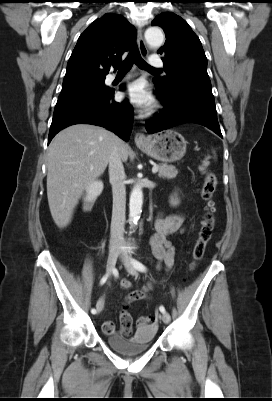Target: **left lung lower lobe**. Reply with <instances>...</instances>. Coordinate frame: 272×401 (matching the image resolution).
I'll use <instances>...</instances> for the list:
<instances>
[{
    "label": "left lung lower lobe",
    "instance_id": "left-lung-lower-lobe-1",
    "mask_svg": "<svg viewBox=\"0 0 272 401\" xmlns=\"http://www.w3.org/2000/svg\"><path fill=\"white\" fill-rule=\"evenodd\" d=\"M156 93L166 108L164 112L157 114L155 122L146 124V130L150 134L183 123H196L208 127L222 137L212 90L174 85L167 90L156 87Z\"/></svg>",
    "mask_w": 272,
    "mask_h": 401
}]
</instances>
